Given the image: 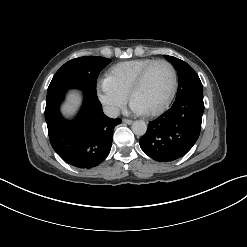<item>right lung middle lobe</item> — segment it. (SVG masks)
<instances>
[{
	"label": "right lung middle lobe",
	"mask_w": 247,
	"mask_h": 247,
	"mask_svg": "<svg viewBox=\"0 0 247 247\" xmlns=\"http://www.w3.org/2000/svg\"><path fill=\"white\" fill-rule=\"evenodd\" d=\"M110 62V59L94 56L79 57L68 61L54 75L48 87L47 98L70 88L82 89L88 95L97 96V77Z\"/></svg>",
	"instance_id": "1"
}]
</instances>
